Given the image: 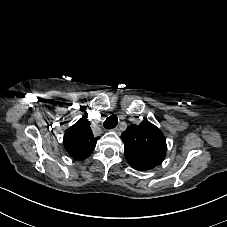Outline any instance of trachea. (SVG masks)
<instances>
[{"label": "trachea", "mask_w": 227, "mask_h": 227, "mask_svg": "<svg viewBox=\"0 0 227 227\" xmlns=\"http://www.w3.org/2000/svg\"><path fill=\"white\" fill-rule=\"evenodd\" d=\"M117 124H118V118L116 115L113 114L104 121L103 126L106 129H114L117 126Z\"/></svg>", "instance_id": "3493384b"}]
</instances>
